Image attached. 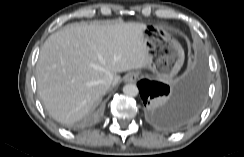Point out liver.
I'll return each instance as SVG.
<instances>
[{"mask_svg": "<svg viewBox=\"0 0 244 157\" xmlns=\"http://www.w3.org/2000/svg\"><path fill=\"white\" fill-rule=\"evenodd\" d=\"M145 25L138 22L73 23L51 34L36 65L38 94L50 115L72 124L84 117L110 85L107 74L146 68Z\"/></svg>", "mask_w": 244, "mask_h": 157, "instance_id": "liver-1", "label": "liver"}]
</instances>
